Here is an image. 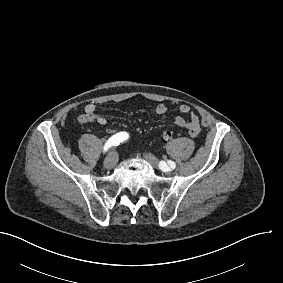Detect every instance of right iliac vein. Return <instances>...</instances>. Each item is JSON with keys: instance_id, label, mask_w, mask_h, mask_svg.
I'll return each instance as SVG.
<instances>
[{"instance_id": "63e3f726", "label": "right iliac vein", "mask_w": 283, "mask_h": 283, "mask_svg": "<svg viewBox=\"0 0 283 283\" xmlns=\"http://www.w3.org/2000/svg\"><path fill=\"white\" fill-rule=\"evenodd\" d=\"M118 162V155L116 152H110L109 155L104 160V167L107 169H112Z\"/></svg>"}]
</instances>
